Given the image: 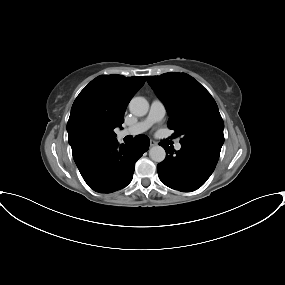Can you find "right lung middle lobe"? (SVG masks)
I'll use <instances>...</instances> for the list:
<instances>
[{
  "instance_id": "1",
  "label": "right lung middle lobe",
  "mask_w": 285,
  "mask_h": 285,
  "mask_svg": "<svg viewBox=\"0 0 285 285\" xmlns=\"http://www.w3.org/2000/svg\"><path fill=\"white\" fill-rule=\"evenodd\" d=\"M116 137V135H113V138H115Z\"/></svg>"
}]
</instances>
